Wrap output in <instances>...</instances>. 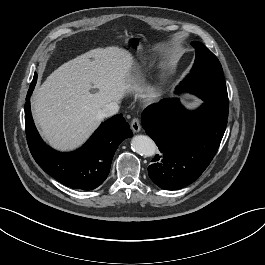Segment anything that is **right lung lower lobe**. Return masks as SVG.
I'll return each instance as SVG.
<instances>
[{
  "mask_svg": "<svg viewBox=\"0 0 265 265\" xmlns=\"http://www.w3.org/2000/svg\"><path fill=\"white\" fill-rule=\"evenodd\" d=\"M36 80L35 73L25 103L26 136L33 158L46 173L65 186L82 190L97 188L109 174L118 145L133 135L128 123L122 114L115 115L102 123L80 149L58 152L43 142L32 119L29 99Z\"/></svg>",
  "mask_w": 265,
  "mask_h": 265,
  "instance_id": "right-lung-lower-lobe-1",
  "label": "right lung lower lobe"
}]
</instances>
